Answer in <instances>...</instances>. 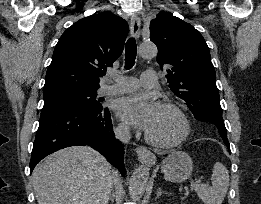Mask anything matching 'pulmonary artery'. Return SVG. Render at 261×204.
Masks as SVG:
<instances>
[{
  "instance_id": "pulmonary-artery-1",
  "label": "pulmonary artery",
  "mask_w": 261,
  "mask_h": 204,
  "mask_svg": "<svg viewBox=\"0 0 261 204\" xmlns=\"http://www.w3.org/2000/svg\"><path fill=\"white\" fill-rule=\"evenodd\" d=\"M112 84H104L100 89L101 95H117L123 94L138 88L140 84L146 87H154L157 84V73L153 69L144 71L138 80L135 77L120 76L112 77Z\"/></svg>"
}]
</instances>
